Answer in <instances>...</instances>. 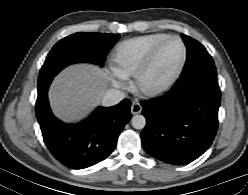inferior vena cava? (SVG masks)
I'll list each match as a JSON object with an SVG mask.
<instances>
[{
	"label": "inferior vena cava",
	"instance_id": "602c4592",
	"mask_svg": "<svg viewBox=\"0 0 248 195\" xmlns=\"http://www.w3.org/2000/svg\"><path fill=\"white\" fill-rule=\"evenodd\" d=\"M124 98L125 95L122 91L117 89H108L102 98V105L106 107L113 106L118 104Z\"/></svg>",
	"mask_w": 248,
	"mask_h": 195
}]
</instances>
